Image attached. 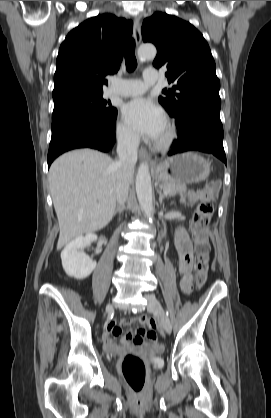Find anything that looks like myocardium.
Segmentation results:
<instances>
[{"mask_svg":"<svg viewBox=\"0 0 271 418\" xmlns=\"http://www.w3.org/2000/svg\"><path fill=\"white\" fill-rule=\"evenodd\" d=\"M175 138H176L175 126L171 122H167L166 134L163 138L155 141L154 148L158 151H165L172 145Z\"/></svg>","mask_w":271,"mask_h":418,"instance_id":"f54148a6","label":"myocardium"}]
</instances>
